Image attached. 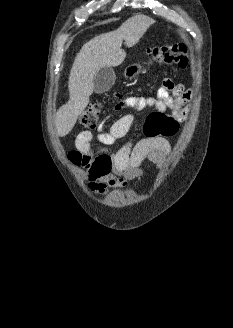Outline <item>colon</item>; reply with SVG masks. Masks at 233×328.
I'll list each match as a JSON object with an SVG mask.
<instances>
[{"label":"colon","instance_id":"colon-1","mask_svg":"<svg viewBox=\"0 0 233 328\" xmlns=\"http://www.w3.org/2000/svg\"><path fill=\"white\" fill-rule=\"evenodd\" d=\"M152 55L159 63L180 68L186 67L190 60L187 48L182 44L157 47L153 50ZM101 113V103H91L80 116L81 125L87 129L94 128ZM178 128V120L173 115L156 110L146 118L144 135L147 139L170 137L178 131ZM69 157L75 165L88 170V178L92 183L108 175L111 170V157L107 154L98 153L94 148L71 151Z\"/></svg>","mask_w":233,"mask_h":328}]
</instances>
